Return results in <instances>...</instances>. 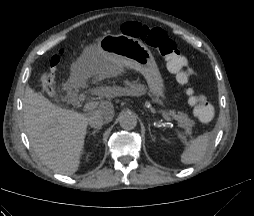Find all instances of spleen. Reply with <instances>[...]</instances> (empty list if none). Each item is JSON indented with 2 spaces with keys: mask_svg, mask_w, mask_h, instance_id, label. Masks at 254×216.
<instances>
[{
  "mask_svg": "<svg viewBox=\"0 0 254 216\" xmlns=\"http://www.w3.org/2000/svg\"><path fill=\"white\" fill-rule=\"evenodd\" d=\"M211 138V133L207 132L191 140L181 154V162L193 164L200 161L208 150Z\"/></svg>",
  "mask_w": 254,
  "mask_h": 216,
  "instance_id": "3e777b00",
  "label": "spleen"
}]
</instances>
